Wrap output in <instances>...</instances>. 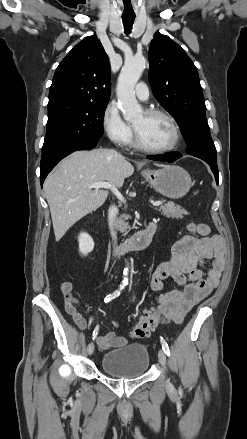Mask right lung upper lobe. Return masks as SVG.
Returning a JSON list of instances; mask_svg holds the SVG:
<instances>
[{"label": "right lung upper lobe", "instance_id": "right-lung-upper-lobe-1", "mask_svg": "<svg viewBox=\"0 0 247 439\" xmlns=\"http://www.w3.org/2000/svg\"><path fill=\"white\" fill-rule=\"evenodd\" d=\"M108 56L96 36H88L61 61L53 77L49 103L80 101L106 103L110 98Z\"/></svg>", "mask_w": 247, "mask_h": 439}]
</instances>
